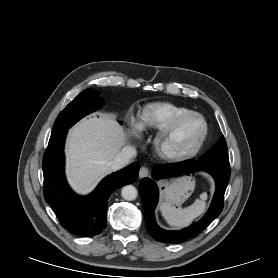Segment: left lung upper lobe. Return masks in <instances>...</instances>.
<instances>
[{"label":"left lung upper lobe","mask_w":278,"mask_h":278,"mask_svg":"<svg viewBox=\"0 0 278 278\" xmlns=\"http://www.w3.org/2000/svg\"><path fill=\"white\" fill-rule=\"evenodd\" d=\"M202 164L222 169H230L227 144L224 136L202 157L198 159Z\"/></svg>","instance_id":"obj_1"}]
</instances>
